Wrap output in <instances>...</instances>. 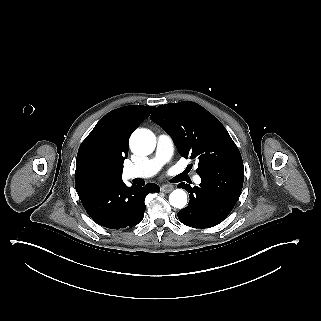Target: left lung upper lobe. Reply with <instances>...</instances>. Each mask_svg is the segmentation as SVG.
I'll use <instances>...</instances> for the list:
<instances>
[{"mask_svg":"<svg viewBox=\"0 0 321 321\" xmlns=\"http://www.w3.org/2000/svg\"><path fill=\"white\" fill-rule=\"evenodd\" d=\"M150 118L172 137L183 157L198 160L197 174L219 166L243 164L225 127L194 102L160 105Z\"/></svg>","mask_w":321,"mask_h":321,"instance_id":"1","label":"left lung upper lobe"}]
</instances>
